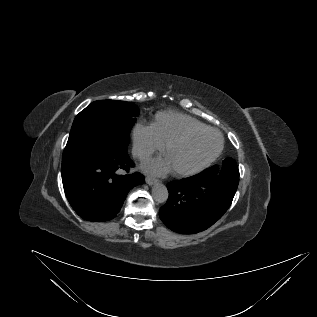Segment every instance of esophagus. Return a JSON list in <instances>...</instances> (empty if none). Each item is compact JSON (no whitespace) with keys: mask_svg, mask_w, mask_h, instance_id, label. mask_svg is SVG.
<instances>
[{"mask_svg":"<svg viewBox=\"0 0 317 317\" xmlns=\"http://www.w3.org/2000/svg\"><path fill=\"white\" fill-rule=\"evenodd\" d=\"M158 182L157 179L153 178V177H150V176H147L146 177V183L150 186L156 184Z\"/></svg>","mask_w":317,"mask_h":317,"instance_id":"34e87169","label":"esophagus"}]
</instances>
